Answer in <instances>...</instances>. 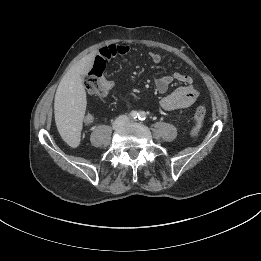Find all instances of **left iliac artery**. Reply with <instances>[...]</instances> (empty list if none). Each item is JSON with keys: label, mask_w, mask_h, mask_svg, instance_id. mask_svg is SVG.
<instances>
[{"label": "left iliac artery", "mask_w": 261, "mask_h": 261, "mask_svg": "<svg viewBox=\"0 0 261 261\" xmlns=\"http://www.w3.org/2000/svg\"><path fill=\"white\" fill-rule=\"evenodd\" d=\"M139 120H141V121H143V120H145L146 119V114L144 113V112H140V114H139Z\"/></svg>", "instance_id": "obj_1"}]
</instances>
